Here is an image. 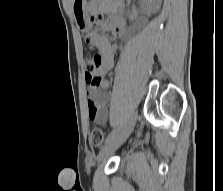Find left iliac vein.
Wrapping results in <instances>:
<instances>
[{
    "label": "left iliac vein",
    "instance_id": "4c4485c4",
    "mask_svg": "<svg viewBox=\"0 0 223 191\" xmlns=\"http://www.w3.org/2000/svg\"><path fill=\"white\" fill-rule=\"evenodd\" d=\"M136 122L137 113L133 112L128 122L124 125L120 132L102 147L97 158L98 162L102 163L106 161L113 154V152L126 141L134 130Z\"/></svg>",
    "mask_w": 223,
    "mask_h": 191
}]
</instances>
